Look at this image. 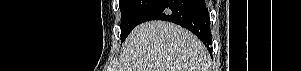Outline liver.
<instances>
[{"label": "liver", "mask_w": 301, "mask_h": 71, "mask_svg": "<svg viewBox=\"0 0 301 71\" xmlns=\"http://www.w3.org/2000/svg\"><path fill=\"white\" fill-rule=\"evenodd\" d=\"M210 56L188 30L151 21L129 34L120 53V71H210Z\"/></svg>", "instance_id": "1"}]
</instances>
